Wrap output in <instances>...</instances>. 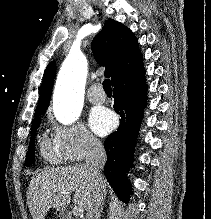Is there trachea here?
<instances>
[{
  "label": "trachea",
  "instance_id": "3493384b",
  "mask_svg": "<svg viewBox=\"0 0 211 219\" xmlns=\"http://www.w3.org/2000/svg\"><path fill=\"white\" fill-rule=\"evenodd\" d=\"M103 88L105 92H112L111 83L109 79L103 81Z\"/></svg>",
  "mask_w": 211,
  "mask_h": 219
}]
</instances>
